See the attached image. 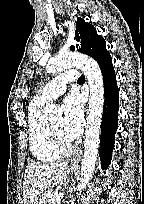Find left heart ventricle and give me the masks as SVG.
<instances>
[{
    "mask_svg": "<svg viewBox=\"0 0 144 204\" xmlns=\"http://www.w3.org/2000/svg\"><path fill=\"white\" fill-rule=\"evenodd\" d=\"M65 139L69 140L63 132V120L60 118L51 124Z\"/></svg>",
    "mask_w": 144,
    "mask_h": 204,
    "instance_id": "1",
    "label": "left heart ventricle"
}]
</instances>
